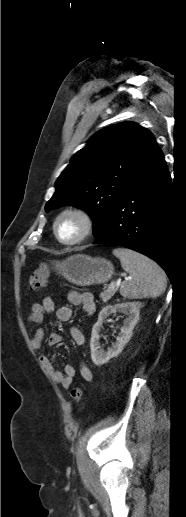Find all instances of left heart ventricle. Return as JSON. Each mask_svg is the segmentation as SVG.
Here are the masks:
<instances>
[{"label": "left heart ventricle", "instance_id": "b2bd125f", "mask_svg": "<svg viewBox=\"0 0 186 517\" xmlns=\"http://www.w3.org/2000/svg\"><path fill=\"white\" fill-rule=\"evenodd\" d=\"M82 224L76 217L66 216L58 224V233L63 240L74 239L81 231Z\"/></svg>", "mask_w": 186, "mask_h": 517}]
</instances>
